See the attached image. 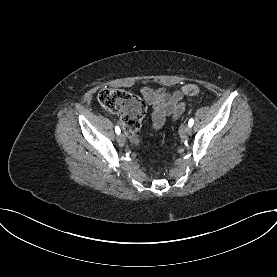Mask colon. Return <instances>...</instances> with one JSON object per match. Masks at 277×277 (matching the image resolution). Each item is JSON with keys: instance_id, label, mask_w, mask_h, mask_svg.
Here are the masks:
<instances>
[{"instance_id": "colon-1", "label": "colon", "mask_w": 277, "mask_h": 277, "mask_svg": "<svg viewBox=\"0 0 277 277\" xmlns=\"http://www.w3.org/2000/svg\"><path fill=\"white\" fill-rule=\"evenodd\" d=\"M182 93L187 96H195L200 93L197 85L188 84L182 87ZM100 106L108 112L118 113L121 124L130 136L131 142L138 145L141 121L146 115V106L136 95L117 88H104L97 94Z\"/></svg>"}]
</instances>
